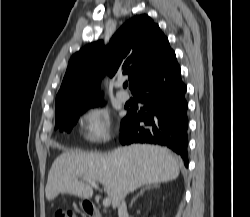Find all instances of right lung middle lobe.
I'll return each mask as SVG.
<instances>
[{
  "mask_svg": "<svg viewBox=\"0 0 250 217\" xmlns=\"http://www.w3.org/2000/svg\"><path fill=\"white\" fill-rule=\"evenodd\" d=\"M93 106H95V105L80 108L77 110H73L69 113H66V114H63V115L57 117L56 122H55V129H59L61 132L62 131L70 132L72 130L73 126L76 124V122L80 116V112H83L85 109H88V108L93 107ZM124 119L122 120V123L124 122Z\"/></svg>",
  "mask_w": 250,
  "mask_h": 217,
  "instance_id": "dd1d6c3e",
  "label": "right lung middle lobe"
}]
</instances>
